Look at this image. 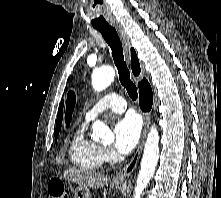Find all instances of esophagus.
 I'll return each mask as SVG.
<instances>
[{
    "instance_id": "esophagus-1",
    "label": "esophagus",
    "mask_w": 221,
    "mask_h": 198,
    "mask_svg": "<svg viewBox=\"0 0 221 198\" xmlns=\"http://www.w3.org/2000/svg\"><path fill=\"white\" fill-rule=\"evenodd\" d=\"M113 26L118 32V35L122 41L125 58L127 62H130V39L120 24H114ZM143 119H144L143 130L138 148L135 154L133 155V157L131 158V160L126 164V166L113 177L112 181L114 183L124 182L131 175V173L134 171V169L137 166V163L142 154L144 141L150 125V113H143Z\"/></svg>"
}]
</instances>
